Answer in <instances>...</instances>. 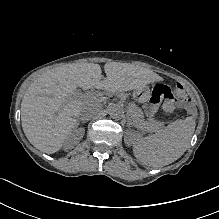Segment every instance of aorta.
Wrapping results in <instances>:
<instances>
[{"mask_svg": "<svg viewBox=\"0 0 219 219\" xmlns=\"http://www.w3.org/2000/svg\"><path fill=\"white\" fill-rule=\"evenodd\" d=\"M108 114L112 119L119 120L123 117L124 111L121 106L117 104H110L108 106Z\"/></svg>", "mask_w": 219, "mask_h": 219, "instance_id": "762f6f07", "label": "aorta"}]
</instances>
